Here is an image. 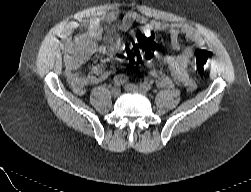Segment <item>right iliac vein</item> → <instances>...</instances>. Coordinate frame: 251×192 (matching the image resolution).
I'll list each match as a JSON object with an SVG mask.
<instances>
[{
  "label": "right iliac vein",
  "mask_w": 251,
  "mask_h": 192,
  "mask_svg": "<svg viewBox=\"0 0 251 192\" xmlns=\"http://www.w3.org/2000/svg\"><path fill=\"white\" fill-rule=\"evenodd\" d=\"M120 88L119 87H113L111 89V95L114 97H118L120 95Z\"/></svg>",
  "instance_id": "1"
}]
</instances>
